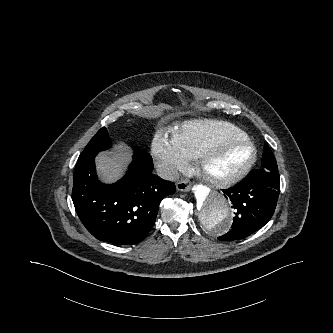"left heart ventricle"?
<instances>
[{
	"label": "left heart ventricle",
	"instance_id": "b2bd125f",
	"mask_svg": "<svg viewBox=\"0 0 333 333\" xmlns=\"http://www.w3.org/2000/svg\"><path fill=\"white\" fill-rule=\"evenodd\" d=\"M247 147L240 142H229L219 146L209 158L206 170L216 176L236 170L248 157Z\"/></svg>",
	"mask_w": 333,
	"mask_h": 333
}]
</instances>
